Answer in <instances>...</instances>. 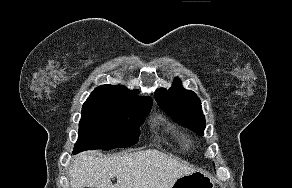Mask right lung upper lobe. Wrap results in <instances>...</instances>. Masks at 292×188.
I'll return each instance as SVG.
<instances>
[{
  "label": "right lung upper lobe",
  "instance_id": "right-lung-upper-lobe-1",
  "mask_svg": "<svg viewBox=\"0 0 292 188\" xmlns=\"http://www.w3.org/2000/svg\"><path fill=\"white\" fill-rule=\"evenodd\" d=\"M96 89L120 92V93H124V94L130 95L131 97L134 98V96L132 95V91H128L123 86L102 85V86L97 87ZM136 100L144 101V102H152V99L150 97H145V98L138 97Z\"/></svg>",
  "mask_w": 292,
  "mask_h": 188
}]
</instances>
